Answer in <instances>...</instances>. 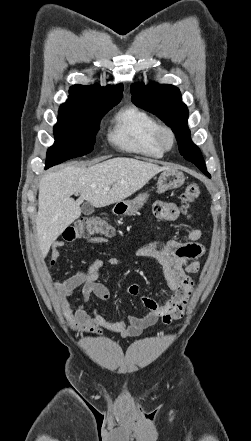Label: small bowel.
<instances>
[{
    "mask_svg": "<svg viewBox=\"0 0 251 441\" xmlns=\"http://www.w3.org/2000/svg\"><path fill=\"white\" fill-rule=\"evenodd\" d=\"M153 212L157 218L167 221L177 220L180 216V211L175 204L163 201L154 204ZM201 236L202 231L199 228H193L186 233L183 241L170 239L165 243L149 242L136 249V256L155 259L162 265L163 275L170 291V297L162 303L146 296L141 297V306L147 311L141 317L105 318L95 308L92 313L85 309V303L91 296L103 301L110 298L109 288L99 282V278L105 265L117 266L119 264L116 257L98 259L87 268L62 281H53L61 310L69 327L86 334L98 335L103 330H107L123 337H135L158 321L169 324L172 320L180 318L194 287L190 274L198 273L200 270L199 258L204 253V247L199 243ZM90 242L103 244L106 240L94 237ZM62 246H64L62 241L54 244L51 258L44 269L46 274L52 267L59 265V248ZM77 289H81V303L73 308L69 298ZM126 291L132 296H137L140 287L133 283L127 287Z\"/></svg>",
    "mask_w": 251,
    "mask_h": 441,
    "instance_id": "c3829d8e",
    "label": "small bowel"
}]
</instances>
